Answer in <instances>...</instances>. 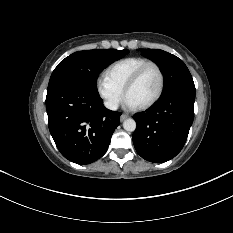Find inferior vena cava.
<instances>
[{
	"label": "inferior vena cava",
	"mask_w": 233,
	"mask_h": 233,
	"mask_svg": "<svg viewBox=\"0 0 233 233\" xmlns=\"http://www.w3.org/2000/svg\"><path fill=\"white\" fill-rule=\"evenodd\" d=\"M105 107L110 110H117L118 109V103L115 101H106L104 103Z\"/></svg>",
	"instance_id": "1"
}]
</instances>
